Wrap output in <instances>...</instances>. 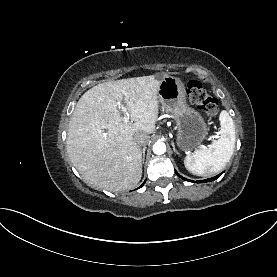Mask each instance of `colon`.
<instances>
[{"label":"colon","mask_w":277,"mask_h":277,"mask_svg":"<svg viewBox=\"0 0 277 277\" xmlns=\"http://www.w3.org/2000/svg\"><path fill=\"white\" fill-rule=\"evenodd\" d=\"M186 92L188 99L203 111L205 116L212 117L217 113V99L208 94L200 81L190 80L187 83Z\"/></svg>","instance_id":"5ec220e1"}]
</instances>
